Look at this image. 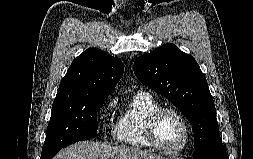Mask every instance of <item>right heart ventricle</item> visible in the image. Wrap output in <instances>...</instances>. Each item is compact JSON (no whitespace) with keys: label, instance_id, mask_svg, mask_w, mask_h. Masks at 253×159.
Instances as JSON below:
<instances>
[{"label":"right heart ventricle","instance_id":"e07e8e85","mask_svg":"<svg viewBox=\"0 0 253 159\" xmlns=\"http://www.w3.org/2000/svg\"><path fill=\"white\" fill-rule=\"evenodd\" d=\"M159 106L150 93L135 94L114 126L116 142L136 149L151 148L145 136V124L149 114Z\"/></svg>","mask_w":253,"mask_h":159}]
</instances>
